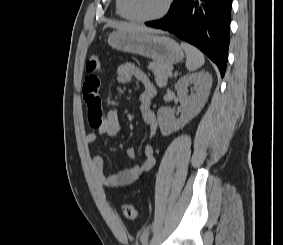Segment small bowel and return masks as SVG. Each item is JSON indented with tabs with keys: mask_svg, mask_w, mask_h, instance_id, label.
<instances>
[{
	"mask_svg": "<svg viewBox=\"0 0 283 245\" xmlns=\"http://www.w3.org/2000/svg\"><path fill=\"white\" fill-rule=\"evenodd\" d=\"M116 79L120 84L129 83L136 79L143 87L139 96V110L142 121L149 129L150 138L154 137L157 130V120L150 104L156 94V90L147 74L132 63H123L118 66ZM101 81L95 74L90 73L84 80L82 92L87 107L90 126L95 130L90 132L86 140L95 143L99 136H117L121 131L118 111L109 109L105 115L102 112L101 99L99 95ZM127 154L130 158H136L134 148H129ZM155 164L154 147L151 143L143 147V158L131 167L106 174L104 172V160L100 155L92 159V173L94 178L103 186L108 188H120L134 183L142 174L147 173Z\"/></svg>",
	"mask_w": 283,
	"mask_h": 245,
	"instance_id": "small-bowel-1",
	"label": "small bowel"
}]
</instances>
